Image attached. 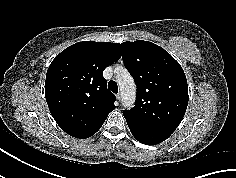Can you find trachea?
I'll return each instance as SVG.
<instances>
[{
	"instance_id": "trachea-1",
	"label": "trachea",
	"mask_w": 236,
	"mask_h": 178,
	"mask_svg": "<svg viewBox=\"0 0 236 178\" xmlns=\"http://www.w3.org/2000/svg\"><path fill=\"white\" fill-rule=\"evenodd\" d=\"M108 89L112 91L113 93L118 92V85L115 81H109L108 83Z\"/></svg>"
}]
</instances>
